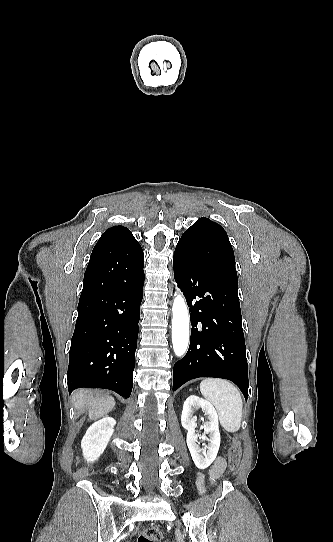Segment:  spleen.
Wrapping results in <instances>:
<instances>
[{"label":"spleen","instance_id":"spleen-1","mask_svg":"<svg viewBox=\"0 0 333 542\" xmlns=\"http://www.w3.org/2000/svg\"><path fill=\"white\" fill-rule=\"evenodd\" d=\"M200 392L217 410L220 426L225 432H238L241 428L243 400L234 384L227 380L207 378L200 384Z\"/></svg>","mask_w":333,"mask_h":542}]
</instances>
